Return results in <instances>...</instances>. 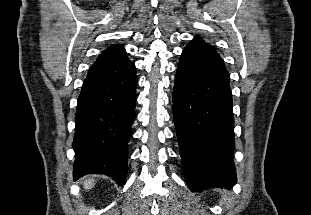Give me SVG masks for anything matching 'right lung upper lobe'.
<instances>
[{
    "label": "right lung upper lobe",
    "instance_id": "obj_1",
    "mask_svg": "<svg viewBox=\"0 0 311 215\" xmlns=\"http://www.w3.org/2000/svg\"><path fill=\"white\" fill-rule=\"evenodd\" d=\"M125 49L121 45H114L104 50L95 63L99 64H120L128 62Z\"/></svg>",
    "mask_w": 311,
    "mask_h": 215
}]
</instances>
